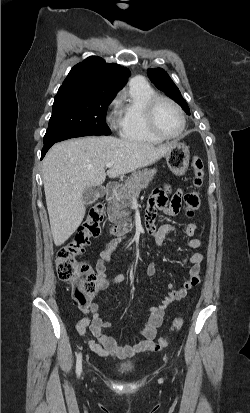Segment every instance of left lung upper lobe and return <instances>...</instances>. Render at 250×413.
Wrapping results in <instances>:
<instances>
[{
	"label": "left lung upper lobe",
	"mask_w": 250,
	"mask_h": 413,
	"mask_svg": "<svg viewBox=\"0 0 250 413\" xmlns=\"http://www.w3.org/2000/svg\"><path fill=\"white\" fill-rule=\"evenodd\" d=\"M148 76L157 88L176 101L183 108L186 114L190 115L189 107L182 97L179 89L163 69H149Z\"/></svg>",
	"instance_id": "5c2ea615"
}]
</instances>
